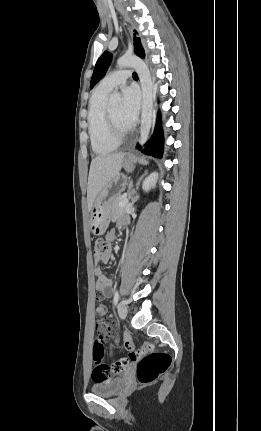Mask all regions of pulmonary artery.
I'll return each instance as SVG.
<instances>
[{"instance_id":"pulmonary-artery-1","label":"pulmonary artery","mask_w":261,"mask_h":431,"mask_svg":"<svg viewBox=\"0 0 261 431\" xmlns=\"http://www.w3.org/2000/svg\"><path fill=\"white\" fill-rule=\"evenodd\" d=\"M130 77L128 70H117L108 74L98 85V89L106 92H110L114 88L122 86L126 83Z\"/></svg>"}]
</instances>
